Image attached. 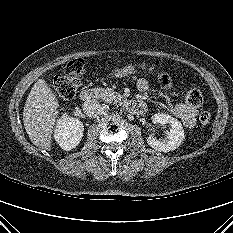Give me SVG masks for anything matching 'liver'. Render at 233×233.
Segmentation results:
<instances>
[{"instance_id": "6515ba94", "label": "liver", "mask_w": 233, "mask_h": 233, "mask_svg": "<svg viewBox=\"0 0 233 233\" xmlns=\"http://www.w3.org/2000/svg\"><path fill=\"white\" fill-rule=\"evenodd\" d=\"M59 102L45 80L32 87L23 110V123L31 142L51 150L53 126L59 116Z\"/></svg>"}]
</instances>
